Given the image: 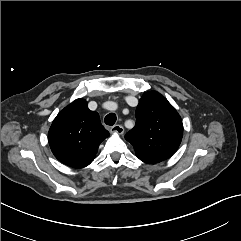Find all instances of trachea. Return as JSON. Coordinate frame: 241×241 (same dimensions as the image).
<instances>
[{"instance_id": "3493384b", "label": "trachea", "mask_w": 241, "mask_h": 241, "mask_svg": "<svg viewBox=\"0 0 241 241\" xmlns=\"http://www.w3.org/2000/svg\"><path fill=\"white\" fill-rule=\"evenodd\" d=\"M116 120H117V117L114 113L108 114L104 119L105 123L109 126L114 125Z\"/></svg>"}]
</instances>
